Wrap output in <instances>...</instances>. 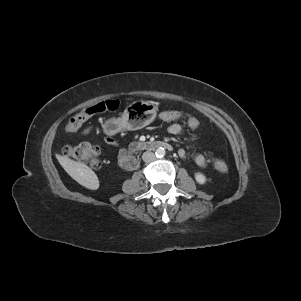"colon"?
<instances>
[{
    "instance_id": "1",
    "label": "colon",
    "mask_w": 301,
    "mask_h": 301,
    "mask_svg": "<svg viewBox=\"0 0 301 301\" xmlns=\"http://www.w3.org/2000/svg\"><path fill=\"white\" fill-rule=\"evenodd\" d=\"M119 107V101L117 100H105L96 103L82 112H79L71 117L66 129L68 131L77 130L82 123L90 116L105 112L114 111ZM157 113H164L169 119H181L186 118L190 128L197 129L200 126V121L195 114H186L181 111H171V108L167 105H157ZM62 153L65 157L75 159L77 161L86 163L93 168H99L101 166V151L99 147L89 143H79L74 145H67L63 148ZM215 169L221 173L228 171L227 165L223 161L216 160L213 162Z\"/></svg>"
}]
</instances>
